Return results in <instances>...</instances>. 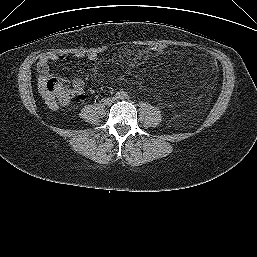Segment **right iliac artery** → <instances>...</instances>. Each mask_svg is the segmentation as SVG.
<instances>
[{"instance_id": "right-iliac-artery-1", "label": "right iliac artery", "mask_w": 257, "mask_h": 257, "mask_svg": "<svg viewBox=\"0 0 257 257\" xmlns=\"http://www.w3.org/2000/svg\"><path fill=\"white\" fill-rule=\"evenodd\" d=\"M120 96H121L120 93H117V94L115 95L116 98H120Z\"/></svg>"}]
</instances>
